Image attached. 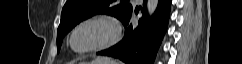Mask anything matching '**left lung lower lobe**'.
Wrapping results in <instances>:
<instances>
[{"label": "left lung lower lobe", "mask_w": 242, "mask_h": 64, "mask_svg": "<svg viewBox=\"0 0 242 64\" xmlns=\"http://www.w3.org/2000/svg\"><path fill=\"white\" fill-rule=\"evenodd\" d=\"M146 0H144L142 13L137 27L129 23L133 14L131 11L122 20L125 36L115 46L98 52V55L114 57L125 64H153L162 39L166 33L170 16L171 0H159L158 6L151 18L146 16ZM136 12V10H135Z\"/></svg>", "instance_id": "1"}]
</instances>
